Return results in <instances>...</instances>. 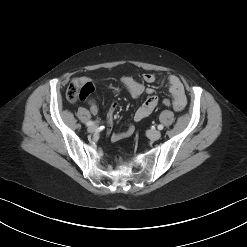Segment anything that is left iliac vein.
I'll return each mask as SVG.
<instances>
[{
	"label": "left iliac vein",
	"instance_id": "left-iliac-vein-1",
	"mask_svg": "<svg viewBox=\"0 0 247 247\" xmlns=\"http://www.w3.org/2000/svg\"><path fill=\"white\" fill-rule=\"evenodd\" d=\"M148 137L152 140H157L161 137V132L158 130H151L148 133Z\"/></svg>",
	"mask_w": 247,
	"mask_h": 247
}]
</instances>
